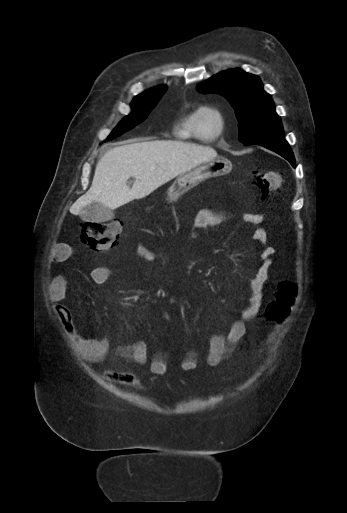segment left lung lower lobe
Wrapping results in <instances>:
<instances>
[{
    "instance_id": "0a47b994",
    "label": "left lung lower lobe",
    "mask_w": 347,
    "mask_h": 513,
    "mask_svg": "<svg viewBox=\"0 0 347 513\" xmlns=\"http://www.w3.org/2000/svg\"><path fill=\"white\" fill-rule=\"evenodd\" d=\"M259 145L280 154L282 157L287 159L293 167H295L294 155L289 147L288 142L285 141L284 139L264 142Z\"/></svg>"
}]
</instances>
